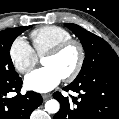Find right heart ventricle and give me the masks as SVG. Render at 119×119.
<instances>
[{"mask_svg":"<svg viewBox=\"0 0 119 119\" xmlns=\"http://www.w3.org/2000/svg\"><path fill=\"white\" fill-rule=\"evenodd\" d=\"M30 37L35 53L42 57L56 45L72 39V34L63 27L48 25L32 31Z\"/></svg>","mask_w":119,"mask_h":119,"instance_id":"1","label":"right heart ventricle"}]
</instances>
